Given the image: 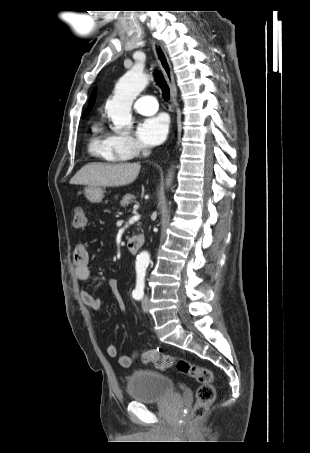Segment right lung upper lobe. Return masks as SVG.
I'll list each match as a JSON object with an SVG mask.
<instances>
[{"label":"right lung upper lobe","instance_id":"1","mask_svg":"<svg viewBox=\"0 0 310 453\" xmlns=\"http://www.w3.org/2000/svg\"><path fill=\"white\" fill-rule=\"evenodd\" d=\"M94 99H95V91L92 92V95H91L90 100H89V108L85 110V112L83 114V117L90 111V108L93 105Z\"/></svg>","mask_w":310,"mask_h":453}]
</instances>
